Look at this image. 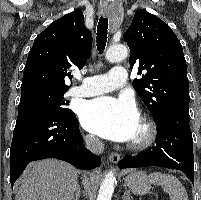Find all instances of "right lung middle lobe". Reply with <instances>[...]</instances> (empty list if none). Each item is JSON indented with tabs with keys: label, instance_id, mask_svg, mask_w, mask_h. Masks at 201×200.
Here are the masks:
<instances>
[{
	"label": "right lung middle lobe",
	"instance_id": "dd1d6c3e",
	"mask_svg": "<svg viewBox=\"0 0 201 200\" xmlns=\"http://www.w3.org/2000/svg\"><path fill=\"white\" fill-rule=\"evenodd\" d=\"M64 93L62 91H40L21 94L18 113L30 109L48 108L62 114H68L72 111L64 107Z\"/></svg>",
	"mask_w": 201,
	"mask_h": 200
}]
</instances>
